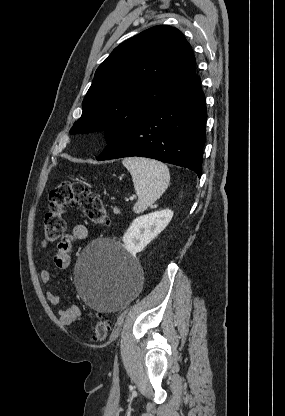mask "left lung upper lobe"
Segmentation results:
<instances>
[{
  "label": "left lung upper lobe",
  "instance_id": "5c2ea615",
  "mask_svg": "<svg viewBox=\"0 0 285 416\" xmlns=\"http://www.w3.org/2000/svg\"><path fill=\"white\" fill-rule=\"evenodd\" d=\"M190 44L176 28L159 25L116 47L95 72L82 116L71 134L104 131L109 144L167 102L195 76Z\"/></svg>",
  "mask_w": 285,
  "mask_h": 416
}]
</instances>
